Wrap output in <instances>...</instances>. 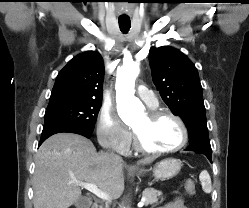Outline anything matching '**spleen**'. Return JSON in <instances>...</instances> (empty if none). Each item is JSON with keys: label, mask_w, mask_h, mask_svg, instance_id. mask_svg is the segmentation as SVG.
I'll return each mask as SVG.
<instances>
[{"label": "spleen", "mask_w": 249, "mask_h": 208, "mask_svg": "<svg viewBox=\"0 0 249 208\" xmlns=\"http://www.w3.org/2000/svg\"><path fill=\"white\" fill-rule=\"evenodd\" d=\"M199 179L201 181L203 191L205 193H210L212 187H211V178L209 173L206 170H203L199 175Z\"/></svg>", "instance_id": "obj_1"}]
</instances>
